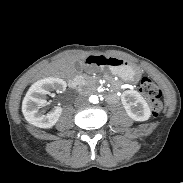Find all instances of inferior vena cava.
<instances>
[{"label": "inferior vena cava", "mask_w": 183, "mask_h": 183, "mask_svg": "<svg viewBox=\"0 0 183 183\" xmlns=\"http://www.w3.org/2000/svg\"><path fill=\"white\" fill-rule=\"evenodd\" d=\"M79 101H80L81 103H86V102H87V100H86L85 98H83V97L80 98Z\"/></svg>", "instance_id": "1"}]
</instances>
